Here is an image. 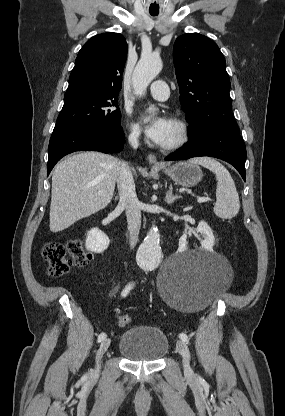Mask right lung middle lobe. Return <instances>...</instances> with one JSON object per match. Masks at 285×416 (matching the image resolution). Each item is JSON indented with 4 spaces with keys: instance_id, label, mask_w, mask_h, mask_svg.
Listing matches in <instances>:
<instances>
[{
    "instance_id": "right-lung-middle-lobe-1",
    "label": "right lung middle lobe",
    "mask_w": 285,
    "mask_h": 416,
    "mask_svg": "<svg viewBox=\"0 0 285 416\" xmlns=\"http://www.w3.org/2000/svg\"><path fill=\"white\" fill-rule=\"evenodd\" d=\"M118 96L83 97L65 95V103L55 127L88 126L119 128Z\"/></svg>"
}]
</instances>
